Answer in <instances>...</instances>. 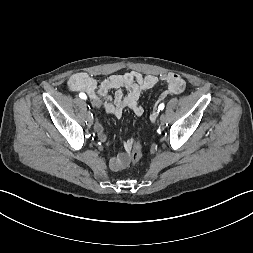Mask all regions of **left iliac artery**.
<instances>
[{
  "label": "left iliac artery",
  "instance_id": "1",
  "mask_svg": "<svg viewBox=\"0 0 253 253\" xmlns=\"http://www.w3.org/2000/svg\"><path fill=\"white\" fill-rule=\"evenodd\" d=\"M163 109H164V104L162 103V104L159 105V111L163 110Z\"/></svg>",
  "mask_w": 253,
  "mask_h": 253
}]
</instances>
